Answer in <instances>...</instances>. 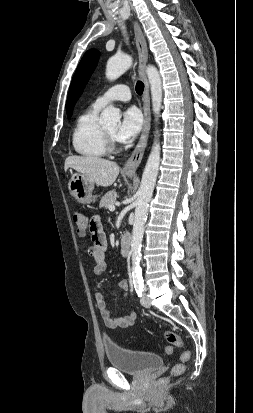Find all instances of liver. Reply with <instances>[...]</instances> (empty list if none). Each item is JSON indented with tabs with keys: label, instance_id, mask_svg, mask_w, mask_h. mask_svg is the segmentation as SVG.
<instances>
[{
	"label": "liver",
	"instance_id": "obj_1",
	"mask_svg": "<svg viewBox=\"0 0 253 413\" xmlns=\"http://www.w3.org/2000/svg\"><path fill=\"white\" fill-rule=\"evenodd\" d=\"M68 168L75 169L103 187L112 185L120 171L116 162L93 156H69L65 160L64 170L67 171Z\"/></svg>",
	"mask_w": 253,
	"mask_h": 413
}]
</instances>
